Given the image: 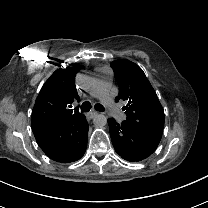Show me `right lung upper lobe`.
<instances>
[{
    "mask_svg": "<svg viewBox=\"0 0 208 208\" xmlns=\"http://www.w3.org/2000/svg\"><path fill=\"white\" fill-rule=\"evenodd\" d=\"M79 66L56 70L41 88L32 111V128L63 124L81 117L70 108L78 96L74 79Z\"/></svg>",
    "mask_w": 208,
    "mask_h": 208,
    "instance_id": "obj_1",
    "label": "right lung upper lobe"
}]
</instances>
